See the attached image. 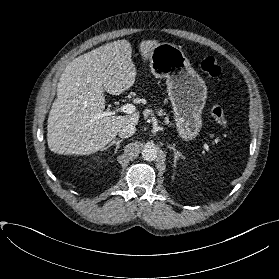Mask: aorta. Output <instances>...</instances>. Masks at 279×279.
<instances>
[{"label":"aorta","instance_id":"1","mask_svg":"<svg viewBox=\"0 0 279 279\" xmlns=\"http://www.w3.org/2000/svg\"><path fill=\"white\" fill-rule=\"evenodd\" d=\"M142 158L146 161H154L157 159L158 150L152 143H146L142 149Z\"/></svg>","mask_w":279,"mask_h":279}]
</instances>
